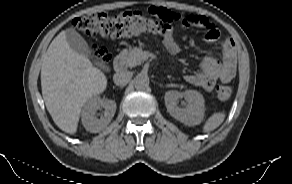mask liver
Instances as JSON below:
<instances>
[{"instance_id":"1","label":"liver","mask_w":292,"mask_h":184,"mask_svg":"<svg viewBox=\"0 0 292 184\" xmlns=\"http://www.w3.org/2000/svg\"><path fill=\"white\" fill-rule=\"evenodd\" d=\"M106 86L105 74L74 51L65 31L60 32L49 45L41 67L42 95L55 124L66 133H76L82 107Z\"/></svg>"}]
</instances>
